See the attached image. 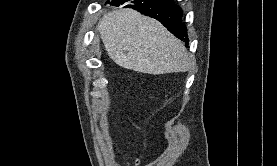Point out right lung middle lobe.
<instances>
[{
    "label": "right lung middle lobe",
    "instance_id": "dd1d6c3e",
    "mask_svg": "<svg viewBox=\"0 0 277 166\" xmlns=\"http://www.w3.org/2000/svg\"><path fill=\"white\" fill-rule=\"evenodd\" d=\"M119 0H112L111 4L118 2Z\"/></svg>",
    "mask_w": 277,
    "mask_h": 166
}]
</instances>
